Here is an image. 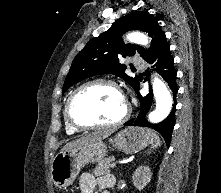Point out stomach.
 Segmentation results:
<instances>
[{"mask_svg": "<svg viewBox=\"0 0 221 193\" xmlns=\"http://www.w3.org/2000/svg\"><path fill=\"white\" fill-rule=\"evenodd\" d=\"M151 140V131L142 127H127L109 139V143L121 152L136 153ZM107 155L104 142L95 141L58 153L51 164V179L58 187L70 186L82 167L100 162Z\"/></svg>", "mask_w": 221, "mask_h": 193, "instance_id": "0dacf381", "label": "stomach"}]
</instances>
